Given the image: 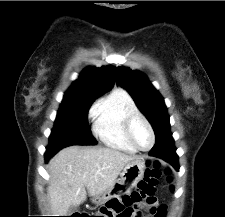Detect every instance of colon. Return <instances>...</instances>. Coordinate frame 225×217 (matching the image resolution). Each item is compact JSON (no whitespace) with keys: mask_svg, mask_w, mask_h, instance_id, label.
Returning a JSON list of instances; mask_svg holds the SVG:
<instances>
[{"mask_svg":"<svg viewBox=\"0 0 225 217\" xmlns=\"http://www.w3.org/2000/svg\"><path fill=\"white\" fill-rule=\"evenodd\" d=\"M163 171L161 170L157 162L148 163L145 170V175L142 181L139 182L137 187L120 194L118 197L110 200L104 208L97 214V216L90 217H118L119 214L127 208L133 207L135 204L140 203L143 200H150L154 197L157 186L159 185L160 178ZM167 180L170 181L169 172L165 171ZM165 207L159 206L151 209L148 214L150 217H165ZM146 214V215H148ZM141 212H137L135 217H144ZM85 217V216H74Z\"/></svg>","mask_w":225,"mask_h":217,"instance_id":"obj_1","label":"colon"}]
</instances>
